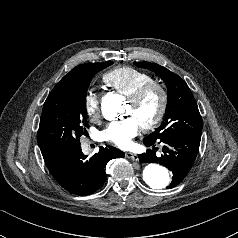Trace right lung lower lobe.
I'll return each instance as SVG.
<instances>
[{
  "label": "right lung lower lobe",
  "instance_id": "1",
  "mask_svg": "<svg viewBox=\"0 0 238 238\" xmlns=\"http://www.w3.org/2000/svg\"><path fill=\"white\" fill-rule=\"evenodd\" d=\"M124 153L112 146L100 147L98 153L87 159L81 146L59 151L44 158L54 179L68 192L88 195L96 192L106 181L107 163Z\"/></svg>",
  "mask_w": 238,
  "mask_h": 238
}]
</instances>
